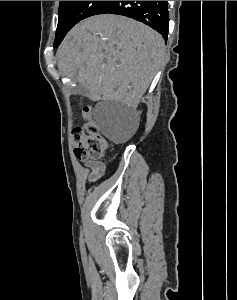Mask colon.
Returning <instances> with one entry per match:
<instances>
[{
	"instance_id": "1",
	"label": "colon",
	"mask_w": 237,
	"mask_h": 300,
	"mask_svg": "<svg viewBox=\"0 0 237 300\" xmlns=\"http://www.w3.org/2000/svg\"><path fill=\"white\" fill-rule=\"evenodd\" d=\"M86 122L82 126L73 129L74 153L83 161L98 160L109 149V143L100 133L97 124L92 120V109L89 106L83 108Z\"/></svg>"
}]
</instances>
